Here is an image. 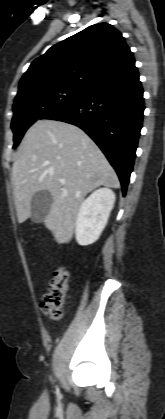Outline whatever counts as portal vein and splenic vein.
<instances>
[{
	"label": "portal vein and splenic vein",
	"mask_w": 165,
	"mask_h": 419,
	"mask_svg": "<svg viewBox=\"0 0 165 419\" xmlns=\"http://www.w3.org/2000/svg\"><path fill=\"white\" fill-rule=\"evenodd\" d=\"M60 183H61V184H65V183H66V180H65V179H61V180H60Z\"/></svg>",
	"instance_id": "18ae733b"
}]
</instances>
